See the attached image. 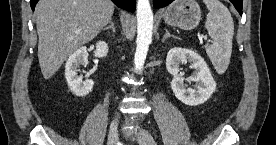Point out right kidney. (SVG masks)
<instances>
[{
  "instance_id": "right-kidney-1",
  "label": "right kidney",
  "mask_w": 276,
  "mask_h": 145,
  "mask_svg": "<svg viewBox=\"0 0 276 145\" xmlns=\"http://www.w3.org/2000/svg\"><path fill=\"white\" fill-rule=\"evenodd\" d=\"M108 53V44L104 41H99L96 43V49L94 51L95 57L103 58L106 57ZM88 63V53L87 48L81 47L77 49L67 60L65 65V78L69 89L73 94L79 97H83L89 92H91L94 81L85 80L83 81L82 76H78V68L80 65Z\"/></svg>"
}]
</instances>
